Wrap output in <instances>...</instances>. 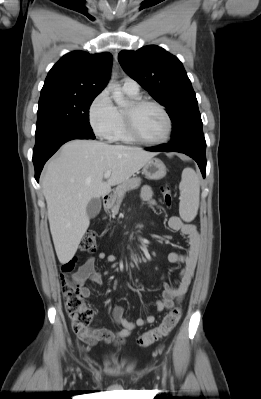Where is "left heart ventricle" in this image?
<instances>
[{"mask_svg":"<svg viewBox=\"0 0 261 399\" xmlns=\"http://www.w3.org/2000/svg\"><path fill=\"white\" fill-rule=\"evenodd\" d=\"M130 105L126 109H129ZM136 127L139 133L149 140L163 138L167 131V122L163 113L154 106H144L134 113Z\"/></svg>","mask_w":261,"mask_h":399,"instance_id":"obj_1","label":"left heart ventricle"}]
</instances>
